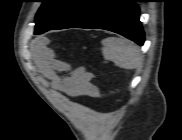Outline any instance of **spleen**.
Returning a JSON list of instances; mask_svg holds the SVG:
<instances>
[{"instance_id": "spleen-1", "label": "spleen", "mask_w": 182, "mask_h": 140, "mask_svg": "<svg viewBox=\"0 0 182 140\" xmlns=\"http://www.w3.org/2000/svg\"><path fill=\"white\" fill-rule=\"evenodd\" d=\"M103 56L116 66L124 69H135L142 65V55L138 47L127 39L108 37L102 40Z\"/></svg>"}]
</instances>
